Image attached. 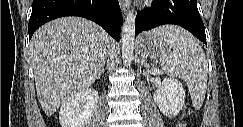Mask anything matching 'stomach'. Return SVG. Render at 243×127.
<instances>
[{
  "instance_id": "stomach-1",
  "label": "stomach",
  "mask_w": 243,
  "mask_h": 127,
  "mask_svg": "<svg viewBox=\"0 0 243 127\" xmlns=\"http://www.w3.org/2000/svg\"><path fill=\"white\" fill-rule=\"evenodd\" d=\"M161 28L144 33L139 39V51L144 57L160 59L169 51L168 43L159 35Z\"/></svg>"
}]
</instances>
